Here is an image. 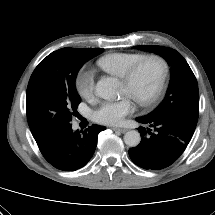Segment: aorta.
Instances as JSON below:
<instances>
[{
	"label": "aorta",
	"mask_w": 215,
	"mask_h": 215,
	"mask_svg": "<svg viewBox=\"0 0 215 215\" xmlns=\"http://www.w3.org/2000/svg\"><path fill=\"white\" fill-rule=\"evenodd\" d=\"M95 92L100 98L115 100L120 97V84L115 78H103L97 82ZM140 141V133L136 130L128 131L124 135V142L129 147H136L139 145Z\"/></svg>",
	"instance_id": "obj_1"
}]
</instances>
